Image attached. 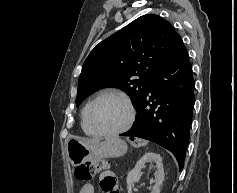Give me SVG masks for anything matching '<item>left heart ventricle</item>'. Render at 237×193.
Returning a JSON list of instances; mask_svg holds the SVG:
<instances>
[{
    "mask_svg": "<svg viewBox=\"0 0 237 193\" xmlns=\"http://www.w3.org/2000/svg\"><path fill=\"white\" fill-rule=\"evenodd\" d=\"M91 118L98 129L113 131L126 124L128 110L120 100L113 97H104L93 106Z\"/></svg>",
    "mask_w": 237,
    "mask_h": 193,
    "instance_id": "1",
    "label": "left heart ventricle"
}]
</instances>
